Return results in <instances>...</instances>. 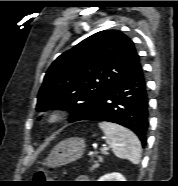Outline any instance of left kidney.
<instances>
[{
  "mask_svg": "<svg viewBox=\"0 0 178 186\" xmlns=\"http://www.w3.org/2000/svg\"><path fill=\"white\" fill-rule=\"evenodd\" d=\"M99 181H125V178L120 173H110L100 177Z\"/></svg>",
  "mask_w": 178,
  "mask_h": 186,
  "instance_id": "1",
  "label": "left kidney"
}]
</instances>
